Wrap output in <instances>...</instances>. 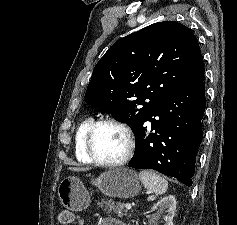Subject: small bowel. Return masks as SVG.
Instances as JSON below:
<instances>
[{
	"label": "small bowel",
	"mask_w": 237,
	"mask_h": 225,
	"mask_svg": "<svg viewBox=\"0 0 237 225\" xmlns=\"http://www.w3.org/2000/svg\"><path fill=\"white\" fill-rule=\"evenodd\" d=\"M100 225H125V224L118 219L109 217V218L103 219L100 222Z\"/></svg>",
	"instance_id": "1"
}]
</instances>
